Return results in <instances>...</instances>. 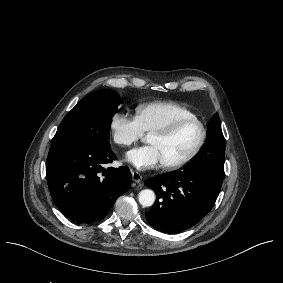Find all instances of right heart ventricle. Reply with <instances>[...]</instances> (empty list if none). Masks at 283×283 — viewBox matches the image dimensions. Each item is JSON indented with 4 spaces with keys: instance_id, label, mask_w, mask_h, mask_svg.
Listing matches in <instances>:
<instances>
[{
    "instance_id": "right-heart-ventricle-1",
    "label": "right heart ventricle",
    "mask_w": 283,
    "mask_h": 283,
    "mask_svg": "<svg viewBox=\"0 0 283 283\" xmlns=\"http://www.w3.org/2000/svg\"><path fill=\"white\" fill-rule=\"evenodd\" d=\"M136 117L146 133L165 129L176 119L192 116L193 113L179 104L166 101H155L139 104L135 108Z\"/></svg>"
}]
</instances>
